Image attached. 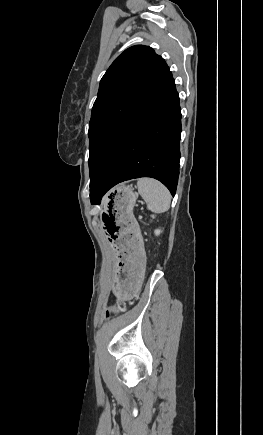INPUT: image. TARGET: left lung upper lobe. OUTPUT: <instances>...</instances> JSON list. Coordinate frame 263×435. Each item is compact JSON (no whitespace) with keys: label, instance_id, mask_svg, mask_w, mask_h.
I'll return each mask as SVG.
<instances>
[{"label":"left lung upper lobe","instance_id":"1","mask_svg":"<svg viewBox=\"0 0 263 435\" xmlns=\"http://www.w3.org/2000/svg\"><path fill=\"white\" fill-rule=\"evenodd\" d=\"M172 79L164 59L148 46H132L114 60L91 113L90 184L127 126Z\"/></svg>","mask_w":263,"mask_h":435}]
</instances>
